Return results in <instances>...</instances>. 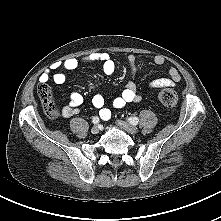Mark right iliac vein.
<instances>
[{"label":"right iliac vein","mask_w":221,"mask_h":221,"mask_svg":"<svg viewBox=\"0 0 221 221\" xmlns=\"http://www.w3.org/2000/svg\"><path fill=\"white\" fill-rule=\"evenodd\" d=\"M99 127L97 126V125H94L93 127H92V129H91V132L93 133V134H98L99 133Z\"/></svg>","instance_id":"obj_1"}]
</instances>
